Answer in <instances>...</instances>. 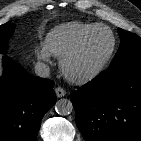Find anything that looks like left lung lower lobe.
I'll return each mask as SVG.
<instances>
[{"label": "left lung lower lobe", "mask_w": 141, "mask_h": 141, "mask_svg": "<svg viewBox=\"0 0 141 141\" xmlns=\"http://www.w3.org/2000/svg\"><path fill=\"white\" fill-rule=\"evenodd\" d=\"M70 99L86 141H141V59L108 68Z\"/></svg>", "instance_id": "0a47b994"}]
</instances>
